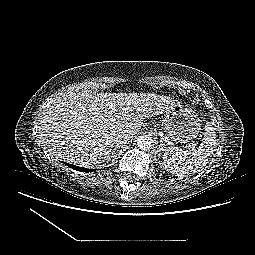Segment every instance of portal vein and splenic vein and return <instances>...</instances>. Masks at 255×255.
<instances>
[{
    "instance_id": "obj_1",
    "label": "portal vein and splenic vein",
    "mask_w": 255,
    "mask_h": 255,
    "mask_svg": "<svg viewBox=\"0 0 255 255\" xmlns=\"http://www.w3.org/2000/svg\"><path fill=\"white\" fill-rule=\"evenodd\" d=\"M110 108H111L112 110H116L115 107H114L112 104L110 105ZM195 146H196V144H194V143L188 145V147L192 148L193 150H194Z\"/></svg>"
}]
</instances>
